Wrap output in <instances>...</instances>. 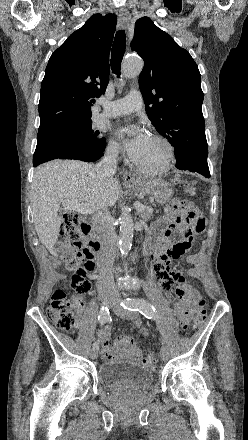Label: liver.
Masks as SVG:
<instances>
[{
    "instance_id": "obj_1",
    "label": "liver",
    "mask_w": 248,
    "mask_h": 440,
    "mask_svg": "<svg viewBox=\"0 0 248 440\" xmlns=\"http://www.w3.org/2000/svg\"><path fill=\"white\" fill-rule=\"evenodd\" d=\"M120 184L113 176L96 172L92 164L75 160H55L35 170L31 203L35 229L41 243L54 256L62 217L60 204L75 199L98 210L113 206L119 198Z\"/></svg>"
}]
</instances>
